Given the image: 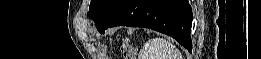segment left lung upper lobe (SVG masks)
I'll use <instances>...</instances> for the list:
<instances>
[{
    "label": "left lung upper lobe",
    "mask_w": 261,
    "mask_h": 59,
    "mask_svg": "<svg viewBox=\"0 0 261 59\" xmlns=\"http://www.w3.org/2000/svg\"><path fill=\"white\" fill-rule=\"evenodd\" d=\"M120 0H92L88 16L97 24Z\"/></svg>",
    "instance_id": "obj_1"
}]
</instances>
